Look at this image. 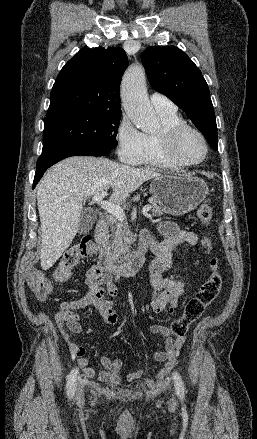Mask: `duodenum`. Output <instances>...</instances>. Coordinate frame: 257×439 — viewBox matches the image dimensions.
<instances>
[{
    "mask_svg": "<svg viewBox=\"0 0 257 439\" xmlns=\"http://www.w3.org/2000/svg\"><path fill=\"white\" fill-rule=\"evenodd\" d=\"M108 224L100 220L95 229V242L100 250L97 267L106 273L125 277L135 274L144 264L145 253L148 250L147 241H140L134 252L122 262L116 263L107 251Z\"/></svg>",
    "mask_w": 257,
    "mask_h": 439,
    "instance_id": "410a0bca",
    "label": "duodenum"
}]
</instances>
